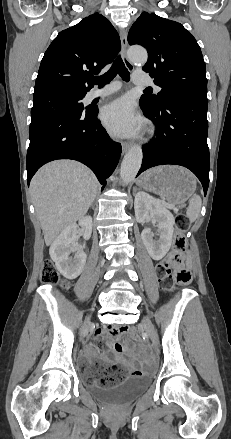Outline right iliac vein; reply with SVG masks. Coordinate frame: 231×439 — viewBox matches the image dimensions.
I'll return each instance as SVG.
<instances>
[{
  "mask_svg": "<svg viewBox=\"0 0 231 439\" xmlns=\"http://www.w3.org/2000/svg\"><path fill=\"white\" fill-rule=\"evenodd\" d=\"M87 329H88L87 326L83 328L82 333H81L80 340L83 339V335H84V333L87 331Z\"/></svg>",
  "mask_w": 231,
  "mask_h": 439,
  "instance_id": "63e3f726",
  "label": "right iliac vein"
}]
</instances>
